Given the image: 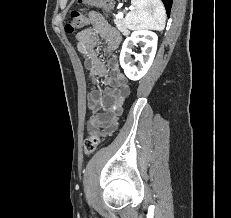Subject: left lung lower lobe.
Returning a JSON list of instances; mask_svg holds the SVG:
<instances>
[{
	"label": "left lung lower lobe",
	"mask_w": 231,
	"mask_h": 218,
	"mask_svg": "<svg viewBox=\"0 0 231 218\" xmlns=\"http://www.w3.org/2000/svg\"><path fill=\"white\" fill-rule=\"evenodd\" d=\"M162 2L165 5L167 15L169 16L173 0H162Z\"/></svg>",
	"instance_id": "obj_1"
}]
</instances>
